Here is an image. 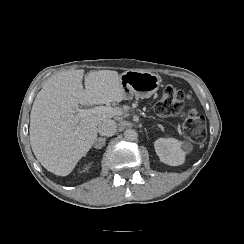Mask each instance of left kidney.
<instances>
[{
	"label": "left kidney",
	"mask_w": 244,
	"mask_h": 244,
	"mask_svg": "<svg viewBox=\"0 0 244 244\" xmlns=\"http://www.w3.org/2000/svg\"><path fill=\"white\" fill-rule=\"evenodd\" d=\"M154 147L160 161L165 164L178 166L185 161L186 153L182 142L175 138H159L154 142Z\"/></svg>",
	"instance_id": "5707ae66"
}]
</instances>
